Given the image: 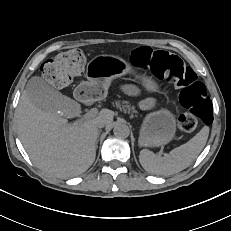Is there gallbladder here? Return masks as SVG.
<instances>
[{
	"label": "gallbladder",
	"mask_w": 231,
	"mask_h": 231,
	"mask_svg": "<svg viewBox=\"0 0 231 231\" xmlns=\"http://www.w3.org/2000/svg\"><path fill=\"white\" fill-rule=\"evenodd\" d=\"M26 92L32 103L45 111H64L63 105L70 102L66 96L37 76L28 81Z\"/></svg>",
	"instance_id": "1"
}]
</instances>
